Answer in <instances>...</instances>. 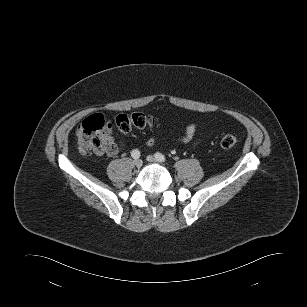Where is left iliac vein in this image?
I'll return each mask as SVG.
<instances>
[{"mask_svg":"<svg viewBox=\"0 0 307 307\" xmlns=\"http://www.w3.org/2000/svg\"><path fill=\"white\" fill-rule=\"evenodd\" d=\"M147 160L149 161V162H152V163H157V162H159L155 157H153L152 155H149V156H147Z\"/></svg>","mask_w":307,"mask_h":307,"instance_id":"left-iliac-vein-1","label":"left iliac vein"}]
</instances>
